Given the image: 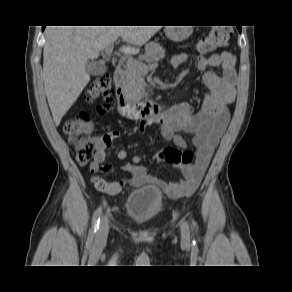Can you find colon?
<instances>
[{"label": "colon", "instance_id": "1", "mask_svg": "<svg viewBox=\"0 0 292 292\" xmlns=\"http://www.w3.org/2000/svg\"><path fill=\"white\" fill-rule=\"evenodd\" d=\"M233 31L228 26L213 28L198 44V49L203 52H211L219 47L228 44ZM113 88L108 75L98 76L89 86L86 98L90 101L101 98L104 104L98 107V113H104L108 108L112 97ZM92 116L89 113H80L74 118L68 119L63 127L64 133L68 136L71 145L75 149V157L79 164L86 165L95 156L96 146L93 138L90 137ZM154 159L158 162H165L172 165H188L193 160V153L189 150H182L176 147H166L155 154ZM97 169L92 165V171ZM92 183L101 192L111 193L112 183L103 178L93 176Z\"/></svg>", "mask_w": 292, "mask_h": 292}]
</instances>
